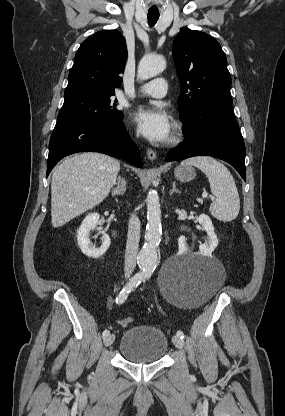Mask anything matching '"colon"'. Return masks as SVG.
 I'll use <instances>...</instances> for the list:
<instances>
[{"mask_svg":"<svg viewBox=\"0 0 285 416\" xmlns=\"http://www.w3.org/2000/svg\"><path fill=\"white\" fill-rule=\"evenodd\" d=\"M133 323V319L131 317H125L120 320V324L123 327H128Z\"/></svg>","mask_w":285,"mask_h":416,"instance_id":"obj_1","label":"colon"}]
</instances>
